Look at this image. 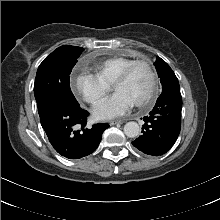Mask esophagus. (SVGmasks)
<instances>
[{
    "label": "esophagus",
    "instance_id": "esophagus-1",
    "mask_svg": "<svg viewBox=\"0 0 220 220\" xmlns=\"http://www.w3.org/2000/svg\"><path fill=\"white\" fill-rule=\"evenodd\" d=\"M125 122V120H112V121H110V125H116V124H122V123H124Z\"/></svg>",
    "mask_w": 220,
    "mask_h": 220
}]
</instances>
